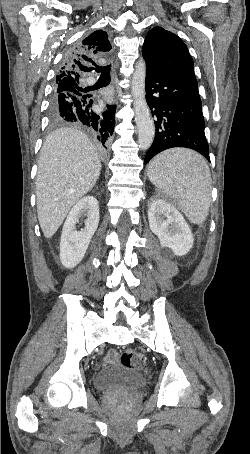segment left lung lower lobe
<instances>
[{
    "mask_svg": "<svg viewBox=\"0 0 250 454\" xmlns=\"http://www.w3.org/2000/svg\"><path fill=\"white\" fill-rule=\"evenodd\" d=\"M145 88L148 106L156 119V133L144 163L173 147L196 150L210 162L195 77L170 74L147 65Z\"/></svg>",
    "mask_w": 250,
    "mask_h": 454,
    "instance_id": "0a47b994",
    "label": "left lung lower lobe"
}]
</instances>
